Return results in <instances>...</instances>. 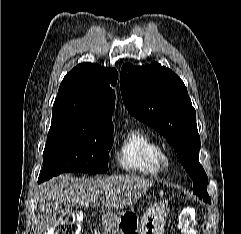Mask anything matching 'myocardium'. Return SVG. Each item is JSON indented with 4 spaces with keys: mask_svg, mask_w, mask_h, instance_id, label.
Returning a JSON list of instances; mask_svg holds the SVG:
<instances>
[{
    "mask_svg": "<svg viewBox=\"0 0 241 234\" xmlns=\"http://www.w3.org/2000/svg\"><path fill=\"white\" fill-rule=\"evenodd\" d=\"M160 163L162 168H168L171 165L170 155L162 150L160 152Z\"/></svg>",
    "mask_w": 241,
    "mask_h": 234,
    "instance_id": "myocardium-1",
    "label": "myocardium"
}]
</instances>
